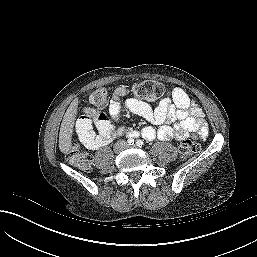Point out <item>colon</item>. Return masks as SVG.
Here are the masks:
<instances>
[{"label": "colon", "mask_w": 257, "mask_h": 257, "mask_svg": "<svg viewBox=\"0 0 257 257\" xmlns=\"http://www.w3.org/2000/svg\"><path fill=\"white\" fill-rule=\"evenodd\" d=\"M134 95L138 98L154 101L159 99L163 93L164 88L162 84L156 81H142L135 83L132 87ZM109 91L105 87H99L89 97V108L86 110L90 115L99 114L98 109H103L108 105ZM199 149V145L193 140H185L180 145V155L182 158H188ZM69 162L81 169H87L91 165V157L82 150L76 142H72L67 155Z\"/></svg>", "instance_id": "1"}]
</instances>
